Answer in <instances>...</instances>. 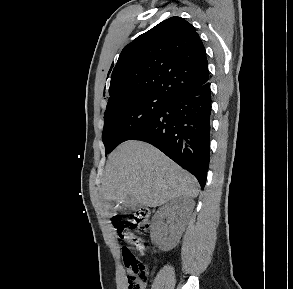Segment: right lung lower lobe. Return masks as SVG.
Listing matches in <instances>:
<instances>
[{"instance_id": "98d812e1", "label": "right lung lower lobe", "mask_w": 293, "mask_h": 289, "mask_svg": "<svg viewBox=\"0 0 293 289\" xmlns=\"http://www.w3.org/2000/svg\"><path fill=\"white\" fill-rule=\"evenodd\" d=\"M210 83L181 93L127 140H141L160 149L193 174L204 188L209 166Z\"/></svg>"}]
</instances>
